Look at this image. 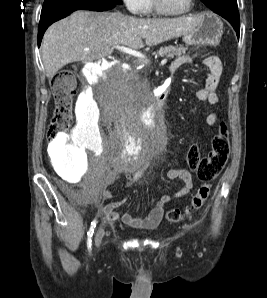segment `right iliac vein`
I'll list each match as a JSON object with an SVG mask.
<instances>
[{"label":"right iliac vein","mask_w":267,"mask_h":298,"mask_svg":"<svg viewBox=\"0 0 267 298\" xmlns=\"http://www.w3.org/2000/svg\"><path fill=\"white\" fill-rule=\"evenodd\" d=\"M103 236H104V229L102 227H99L95 234V246L97 248L100 247Z\"/></svg>","instance_id":"1"}]
</instances>
